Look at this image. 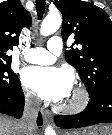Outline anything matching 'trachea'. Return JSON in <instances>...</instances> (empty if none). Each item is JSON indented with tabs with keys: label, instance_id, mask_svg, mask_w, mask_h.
<instances>
[{
	"label": "trachea",
	"instance_id": "3493384b",
	"mask_svg": "<svg viewBox=\"0 0 112 135\" xmlns=\"http://www.w3.org/2000/svg\"><path fill=\"white\" fill-rule=\"evenodd\" d=\"M45 4H46L45 0H36V10L39 19L43 17Z\"/></svg>",
	"mask_w": 112,
	"mask_h": 135
}]
</instances>
